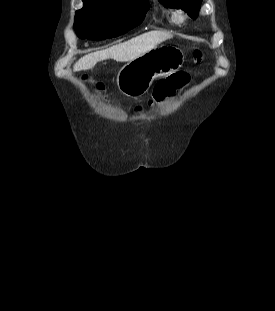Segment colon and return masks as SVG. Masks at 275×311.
Masks as SVG:
<instances>
[{
    "mask_svg": "<svg viewBox=\"0 0 275 311\" xmlns=\"http://www.w3.org/2000/svg\"><path fill=\"white\" fill-rule=\"evenodd\" d=\"M194 57L199 62L201 61L203 54L200 50L196 49L194 51ZM188 81V76L185 73H179L175 74L171 77H169L167 80L160 81L156 87L154 96L156 99H159L161 97H164L166 95H169L173 93L177 88L181 87L183 84H185ZM97 89L99 91H102L103 87L102 85H97Z\"/></svg>",
    "mask_w": 275,
    "mask_h": 311,
    "instance_id": "5ec220e1",
    "label": "colon"
}]
</instances>
